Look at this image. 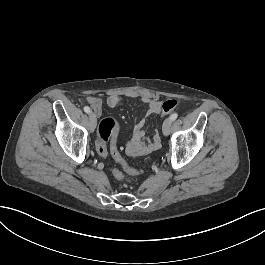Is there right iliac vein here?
I'll return each instance as SVG.
<instances>
[{
    "label": "right iliac vein",
    "instance_id": "right-iliac-vein-1",
    "mask_svg": "<svg viewBox=\"0 0 265 265\" xmlns=\"http://www.w3.org/2000/svg\"><path fill=\"white\" fill-rule=\"evenodd\" d=\"M96 125H97V119L94 113L92 112L89 115V128L92 132L95 130Z\"/></svg>",
    "mask_w": 265,
    "mask_h": 265
}]
</instances>
